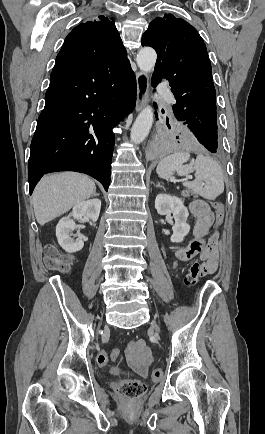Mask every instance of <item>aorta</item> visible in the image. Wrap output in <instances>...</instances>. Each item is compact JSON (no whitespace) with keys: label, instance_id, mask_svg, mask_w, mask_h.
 <instances>
[{"label":"aorta","instance_id":"obj_1","mask_svg":"<svg viewBox=\"0 0 265 434\" xmlns=\"http://www.w3.org/2000/svg\"><path fill=\"white\" fill-rule=\"evenodd\" d=\"M157 54L153 48H141L136 56V64L143 74H148L154 70ZM153 124L152 108H144L137 116L130 134V140L133 144H141L147 138Z\"/></svg>","mask_w":265,"mask_h":434}]
</instances>
